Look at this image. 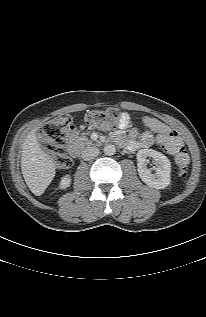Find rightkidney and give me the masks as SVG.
<instances>
[{"label":"right kidney","instance_id":"ca27d5eb","mask_svg":"<svg viewBox=\"0 0 206 317\" xmlns=\"http://www.w3.org/2000/svg\"><path fill=\"white\" fill-rule=\"evenodd\" d=\"M70 183H71L70 175H65L64 177L61 178L60 187L62 189H66L67 187L70 186Z\"/></svg>","mask_w":206,"mask_h":317}]
</instances>
